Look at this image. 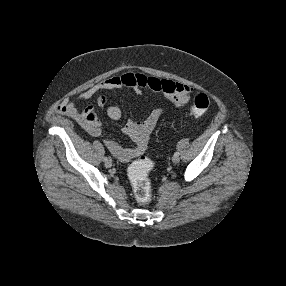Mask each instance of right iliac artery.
<instances>
[{
  "label": "right iliac artery",
  "mask_w": 286,
  "mask_h": 286,
  "mask_svg": "<svg viewBox=\"0 0 286 286\" xmlns=\"http://www.w3.org/2000/svg\"><path fill=\"white\" fill-rule=\"evenodd\" d=\"M109 159H110L109 157H104V158H103V161L106 162V161H108Z\"/></svg>",
  "instance_id": "82829eb1"
}]
</instances>
